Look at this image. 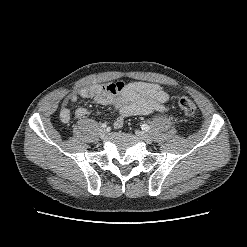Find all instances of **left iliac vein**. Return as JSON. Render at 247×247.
I'll return each instance as SVG.
<instances>
[{"instance_id": "4c4485c4", "label": "left iliac vein", "mask_w": 247, "mask_h": 247, "mask_svg": "<svg viewBox=\"0 0 247 247\" xmlns=\"http://www.w3.org/2000/svg\"><path fill=\"white\" fill-rule=\"evenodd\" d=\"M135 134H136L139 138H141L142 140H144V141L147 142V143H151V142H152V137H151L148 133H146V132H144V131L136 130V131H135Z\"/></svg>"}]
</instances>
